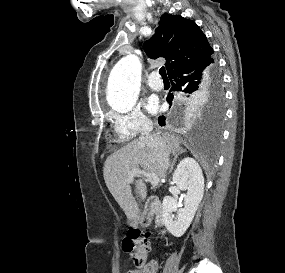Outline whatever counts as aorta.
Instances as JSON below:
<instances>
[{
  "label": "aorta",
  "instance_id": "1",
  "mask_svg": "<svg viewBox=\"0 0 285 273\" xmlns=\"http://www.w3.org/2000/svg\"><path fill=\"white\" fill-rule=\"evenodd\" d=\"M141 63L134 55L122 58L111 70L107 86V102L121 113L130 111L139 95Z\"/></svg>",
  "mask_w": 285,
  "mask_h": 273
}]
</instances>
